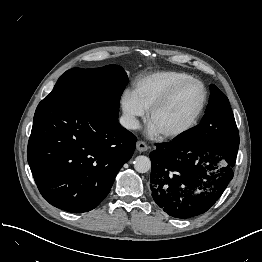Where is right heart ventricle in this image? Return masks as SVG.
Listing matches in <instances>:
<instances>
[{"label": "right heart ventricle", "mask_w": 262, "mask_h": 262, "mask_svg": "<svg viewBox=\"0 0 262 262\" xmlns=\"http://www.w3.org/2000/svg\"><path fill=\"white\" fill-rule=\"evenodd\" d=\"M190 78L192 77L185 72H154L138 79L135 82L133 94L139 104L145 110H148L173 86Z\"/></svg>", "instance_id": "e07e8e85"}]
</instances>
